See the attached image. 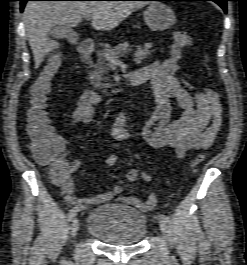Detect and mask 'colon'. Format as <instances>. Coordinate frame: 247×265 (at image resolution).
Here are the masks:
<instances>
[{
    "label": "colon",
    "instance_id": "1",
    "mask_svg": "<svg viewBox=\"0 0 247 265\" xmlns=\"http://www.w3.org/2000/svg\"><path fill=\"white\" fill-rule=\"evenodd\" d=\"M192 45V37L187 32L178 31L173 36V44L170 51V59L179 65L183 50ZM62 64L59 54L49 58L39 75L35 78L29 88L30 107L27 112V134L29 138L28 149L35 160L49 168L53 179H64L69 174V163L60 157L64 144L60 136L51 129L47 112L46 101L53 79L58 74ZM189 88V85L182 81ZM204 160V155L199 154L191 162V168L196 169ZM118 158L112 154L106 158L109 167L117 165Z\"/></svg>",
    "mask_w": 247,
    "mask_h": 265
}]
</instances>
